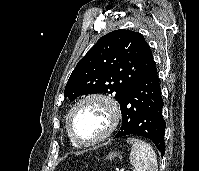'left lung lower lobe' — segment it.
Listing matches in <instances>:
<instances>
[{"label":"left lung lower lobe","mask_w":199,"mask_h":171,"mask_svg":"<svg viewBox=\"0 0 199 171\" xmlns=\"http://www.w3.org/2000/svg\"><path fill=\"white\" fill-rule=\"evenodd\" d=\"M155 62L136 80L120 103L122 126L114 138L139 135L154 142L163 156L166 123Z\"/></svg>","instance_id":"left-lung-lower-lobe-1"}]
</instances>
